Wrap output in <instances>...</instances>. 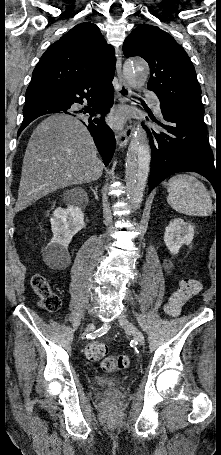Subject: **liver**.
<instances>
[{"label": "liver", "instance_id": "liver-1", "mask_svg": "<svg viewBox=\"0 0 221 455\" xmlns=\"http://www.w3.org/2000/svg\"><path fill=\"white\" fill-rule=\"evenodd\" d=\"M102 171L87 128L72 116L51 115L35 128L28 142L15 212L57 189L97 180Z\"/></svg>", "mask_w": 221, "mask_h": 455}]
</instances>
